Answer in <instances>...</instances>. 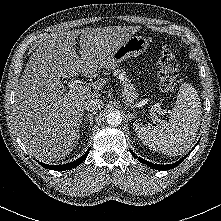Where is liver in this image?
I'll use <instances>...</instances> for the list:
<instances>
[{
	"mask_svg": "<svg viewBox=\"0 0 221 221\" xmlns=\"http://www.w3.org/2000/svg\"><path fill=\"white\" fill-rule=\"evenodd\" d=\"M135 27L87 28L60 32L32 54L15 92L14 125L26 149L41 161L64 159L74 149L85 102L100 96L105 81L93 92H65L60 78L80 74L94 78ZM80 35V56L74 46Z\"/></svg>",
	"mask_w": 221,
	"mask_h": 221,
	"instance_id": "1",
	"label": "liver"
}]
</instances>
